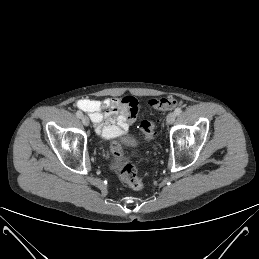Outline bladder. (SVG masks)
Here are the masks:
<instances>
[{
	"label": "bladder",
	"instance_id": "31cf9c89",
	"mask_svg": "<svg viewBox=\"0 0 259 259\" xmlns=\"http://www.w3.org/2000/svg\"><path fill=\"white\" fill-rule=\"evenodd\" d=\"M122 141L125 145L130 146V147L135 146V144H136L134 137L131 135H128V134L123 136Z\"/></svg>",
	"mask_w": 259,
	"mask_h": 259
}]
</instances>
